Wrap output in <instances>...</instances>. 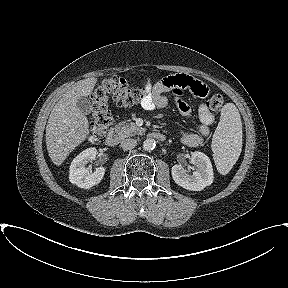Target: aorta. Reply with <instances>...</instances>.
I'll return each mask as SVG.
<instances>
[{
  "instance_id": "obj_1",
  "label": "aorta",
  "mask_w": 288,
  "mask_h": 288,
  "mask_svg": "<svg viewBox=\"0 0 288 288\" xmlns=\"http://www.w3.org/2000/svg\"><path fill=\"white\" fill-rule=\"evenodd\" d=\"M156 147V142L153 140V139H146L144 142H143V149L145 151H152L154 150Z\"/></svg>"
}]
</instances>
